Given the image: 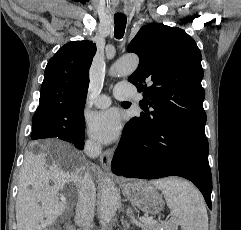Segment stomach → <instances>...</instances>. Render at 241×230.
<instances>
[{
    "label": "stomach",
    "instance_id": "0dacf381",
    "mask_svg": "<svg viewBox=\"0 0 241 230\" xmlns=\"http://www.w3.org/2000/svg\"><path fill=\"white\" fill-rule=\"evenodd\" d=\"M125 196L132 204L147 214L156 215L163 210L164 201L157 189L143 180H133L122 185Z\"/></svg>",
    "mask_w": 241,
    "mask_h": 230
}]
</instances>
